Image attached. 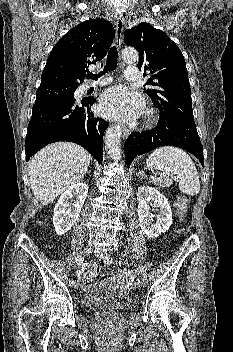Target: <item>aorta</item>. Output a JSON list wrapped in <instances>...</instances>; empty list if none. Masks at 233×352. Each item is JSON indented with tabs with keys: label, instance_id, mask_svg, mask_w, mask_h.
<instances>
[{
	"label": "aorta",
	"instance_id": "1",
	"mask_svg": "<svg viewBox=\"0 0 233 352\" xmlns=\"http://www.w3.org/2000/svg\"><path fill=\"white\" fill-rule=\"evenodd\" d=\"M122 58L128 62H136L138 61V53L133 48H126L122 51ZM121 134L120 125L109 127L105 134V148L109 156L114 160H120L121 158Z\"/></svg>",
	"mask_w": 233,
	"mask_h": 352
}]
</instances>
